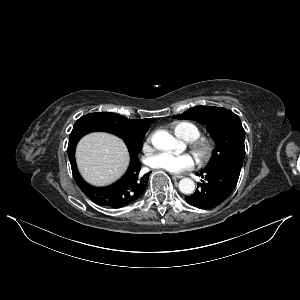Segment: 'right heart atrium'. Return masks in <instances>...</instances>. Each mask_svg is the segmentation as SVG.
<instances>
[{
    "mask_svg": "<svg viewBox=\"0 0 300 300\" xmlns=\"http://www.w3.org/2000/svg\"><path fill=\"white\" fill-rule=\"evenodd\" d=\"M150 142H151V137H148L144 143V149H146L149 146Z\"/></svg>",
    "mask_w": 300,
    "mask_h": 300,
    "instance_id": "d8ad5b80",
    "label": "right heart atrium"
}]
</instances>
